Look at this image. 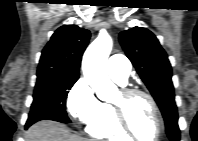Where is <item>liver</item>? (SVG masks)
Listing matches in <instances>:
<instances>
[{"instance_id": "liver-1", "label": "liver", "mask_w": 198, "mask_h": 141, "mask_svg": "<svg viewBox=\"0 0 198 141\" xmlns=\"http://www.w3.org/2000/svg\"><path fill=\"white\" fill-rule=\"evenodd\" d=\"M25 141H90L72 134L66 125L54 121H40L26 132Z\"/></svg>"}]
</instances>
